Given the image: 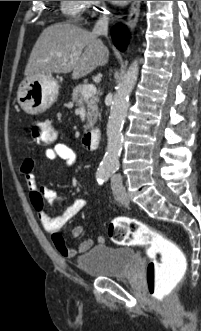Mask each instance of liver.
<instances>
[{
	"label": "liver",
	"mask_w": 201,
	"mask_h": 331,
	"mask_svg": "<svg viewBox=\"0 0 201 331\" xmlns=\"http://www.w3.org/2000/svg\"><path fill=\"white\" fill-rule=\"evenodd\" d=\"M60 54V56H58ZM109 52L98 35L74 24L58 23L43 30L25 68V76L72 73L83 77L107 62Z\"/></svg>",
	"instance_id": "liver-1"
}]
</instances>
